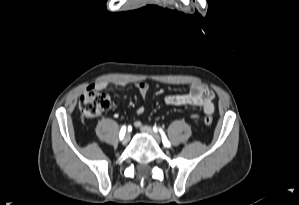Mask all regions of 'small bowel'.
Segmentation results:
<instances>
[{"instance_id": "small-bowel-1", "label": "small bowel", "mask_w": 299, "mask_h": 205, "mask_svg": "<svg viewBox=\"0 0 299 205\" xmlns=\"http://www.w3.org/2000/svg\"><path fill=\"white\" fill-rule=\"evenodd\" d=\"M106 82H98L93 87L97 90H102L106 88ZM140 97L144 100L147 97L149 91V85L145 82H138L135 84ZM214 93L206 88L205 86L199 83H193L190 87V90L186 93L180 94H169L166 95L164 101L168 105L172 106H182V105H193L199 106L202 108L203 112L207 115L213 114L215 106L213 103ZM145 108L140 106L137 109L138 119L135 122V126H140L141 120L140 117L144 114ZM198 115H193V118H197Z\"/></svg>"}]
</instances>
